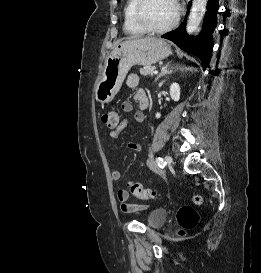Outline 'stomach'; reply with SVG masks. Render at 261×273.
Listing matches in <instances>:
<instances>
[{
	"label": "stomach",
	"mask_w": 261,
	"mask_h": 273,
	"mask_svg": "<svg viewBox=\"0 0 261 273\" xmlns=\"http://www.w3.org/2000/svg\"><path fill=\"white\" fill-rule=\"evenodd\" d=\"M171 54L170 45L159 38L145 37L120 43L109 54L95 98L105 104L111 102L133 65L150 66Z\"/></svg>",
	"instance_id": "0dacf381"
}]
</instances>
